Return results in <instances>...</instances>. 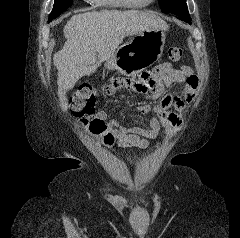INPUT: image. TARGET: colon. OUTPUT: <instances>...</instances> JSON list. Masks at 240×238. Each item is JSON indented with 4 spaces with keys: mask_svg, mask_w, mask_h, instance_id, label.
I'll use <instances>...</instances> for the list:
<instances>
[{
    "mask_svg": "<svg viewBox=\"0 0 240 238\" xmlns=\"http://www.w3.org/2000/svg\"><path fill=\"white\" fill-rule=\"evenodd\" d=\"M168 56L172 61H178L182 56V50L178 47H172L168 51ZM97 93V88L91 84L80 85L71 97V112L81 120L92 134L103 136L105 143L110 144L112 136L107 132L105 121L94 117Z\"/></svg>",
    "mask_w": 240,
    "mask_h": 238,
    "instance_id": "colon-1",
    "label": "colon"
}]
</instances>
